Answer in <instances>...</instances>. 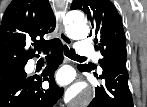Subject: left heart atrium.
<instances>
[{
    "mask_svg": "<svg viewBox=\"0 0 147 107\" xmlns=\"http://www.w3.org/2000/svg\"><path fill=\"white\" fill-rule=\"evenodd\" d=\"M58 79L61 83H67L71 80V74L68 70H62L60 71L58 75Z\"/></svg>",
    "mask_w": 147,
    "mask_h": 107,
    "instance_id": "39dd6f15",
    "label": "left heart atrium"
}]
</instances>
